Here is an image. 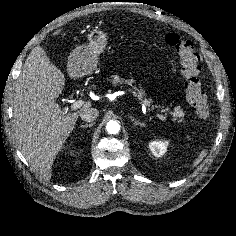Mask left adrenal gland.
Instances as JSON below:
<instances>
[{"instance_id": "left-adrenal-gland-1", "label": "left adrenal gland", "mask_w": 236, "mask_h": 236, "mask_svg": "<svg viewBox=\"0 0 236 236\" xmlns=\"http://www.w3.org/2000/svg\"><path fill=\"white\" fill-rule=\"evenodd\" d=\"M129 118L132 120L133 124L135 126H141V127H144L145 124L144 123H141L139 120H136L132 115H129Z\"/></svg>"}]
</instances>
